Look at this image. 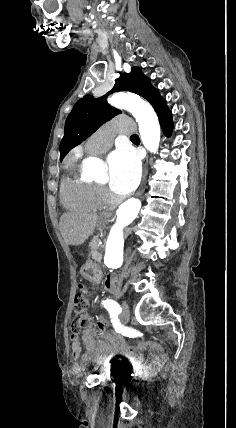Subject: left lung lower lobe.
<instances>
[{"label": "left lung lower lobe", "instance_id": "1", "mask_svg": "<svg viewBox=\"0 0 236 428\" xmlns=\"http://www.w3.org/2000/svg\"><path fill=\"white\" fill-rule=\"evenodd\" d=\"M159 117L160 125L163 129V132L166 136H169L173 129V121L171 111L168 109L167 105L163 106L161 109L156 111Z\"/></svg>", "mask_w": 236, "mask_h": 428}]
</instances>
